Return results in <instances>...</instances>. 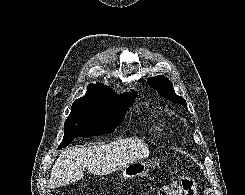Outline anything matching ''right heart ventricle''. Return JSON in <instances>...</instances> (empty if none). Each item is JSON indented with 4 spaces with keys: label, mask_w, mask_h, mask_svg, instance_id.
<instances>
[{
    "label": "right heart ventricle",
    "mask_w": 245,
    "mask_h": 195,
    "mask_svg": "<svg viewBox=\"0 0 245 195\" xmlns=\"http://www.w3.org/2000/svg\"><path fill=\"white\" fill-rule=\"evenodd\" d=\"M153 127L157 132H161L165 127L164 118L160 115H154L152 117Z\"/></svg>",
    "instance_id": "1"
}]
</instances>
